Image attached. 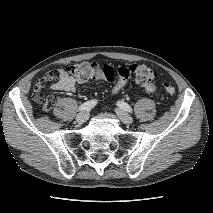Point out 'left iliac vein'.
I'll list each match as a JSON object with an SVG mask.
<instances>
[{
  "mask_svg": "<svg viewBox=\"0 0 213 213\" xmlns=\"http://www.w3.org/2000/svg\"><path fill=\"white\" fill-rule=\"evenodd\" d=\"M116 114L124 124H131L133 122V118L122 109H116Z\"/></svg>",
  "mask_w": 213,
  "mask_h": 213,
  "instance_id": "obj_1",
  "label": "left iliac vein"
}]
</instances>
